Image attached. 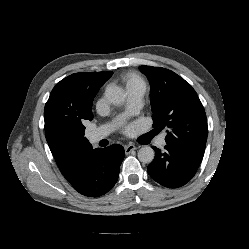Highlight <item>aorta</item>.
I'll return each mask as SVG.
<instances>
[{
  "instance_id": "aorta-1",
  "label": "aorta",
  "mask_w": 249,
  "mask_h": 249,
  "mask_svg": "<svg viewBox=\"0 0 249 249\" xmlns=\"http://www.w3.org/2000/svg\"><path fill=\"white\" fill-rule=\"evenodd\" d=\"M106 99L112 104H121L125 101V91L119 86H110L105 91ZM155 152L150 146H143L138 151V159L142 163H151Z\"/></svg>"
}]
</instances>
